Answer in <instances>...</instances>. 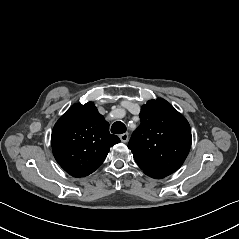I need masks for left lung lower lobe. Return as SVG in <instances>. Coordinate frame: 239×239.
<instances>
[{"mask_svg":"<svg viewBox=\"0 0 239 239\" xmlns=\"http://www.w3.org/2000/svg\"><path fill=\"white\" fill-rule=\"evenodd\" d=\"M152 178H157V179H160V178H163V177H152Z\"/></svg>","mask_w":239,"mask_h":239,"instance_id":"obj_1","label":"left lung lower lobe"}]
</instances>
